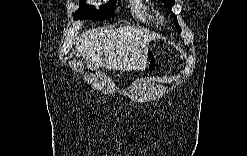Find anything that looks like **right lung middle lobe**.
<instances>
[{"label": "right lung middle lobe", "mask_w": 247, "mask_h": 156, "mask_svg": "<svg viewBox=\"0 0 247 156\" xmlns=\"http://www.w3.org/2000/svg\"><path fill=\"white\" fill-rule=\"evenodd\" d=\"M116 1L108 2L105 5L100 6V9L96 11L94 7L86 5L85 0H80V8L74 15L75 20L83 19H96L105 20L112 17L115 13Z\"/></svg>", "instance_id": "right-lung-middle-lobe-1"}]
</instances>
